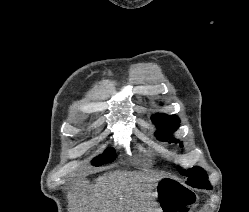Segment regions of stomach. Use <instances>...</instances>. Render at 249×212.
<instances>
[{"mask_svg":"<svg viewBox=\"0 0 249 212\" xmlns=\"http://www.w3.org/2000/svg\"><path fill=\"white\" fill-rule=\"evenodd\" d=\"M161 212H185L196 204V194L173 178H161L155 186Z\"/></svg>","mask_w":249,"mask_h":212,"instance_id":"obj_1","label":"stomach"}]
</instances>
